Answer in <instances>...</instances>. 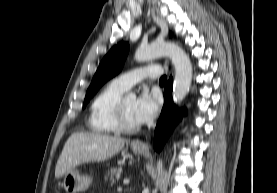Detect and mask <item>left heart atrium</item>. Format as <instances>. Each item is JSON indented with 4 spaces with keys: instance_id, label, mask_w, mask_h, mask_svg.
I'll return each instance as SVG.
<instances>
[{
    "instance_id": "obj_1",
    "label": "left heart atrium",
    "mask_w": 277,
    "mask_h": 193,
    "mask_svg": "<svg viewBox=\"0 0 277 193\" xmlns=\"http://www.w3.org/2000/svg\"><path fill=\"white\" fill-rule=\"evenodd\" d=\"M159 98L156 94L144 90L134 105V116L138 123L151 121L157 114Z\"/></svg>"
}]
</instances>
